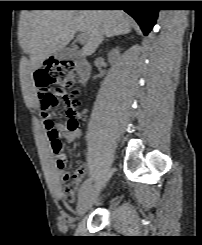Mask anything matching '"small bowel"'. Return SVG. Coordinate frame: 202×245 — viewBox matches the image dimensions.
<instances>
[{
  "instance_id": "1",
  "label": "small bowel",
  "mask_w": 202,
  "mask_h": 245,
  "mask_svg": "<svg viewBox=\"0 0 202 245\" xmlns=\"http://www.w3.org/2000/svg\"><path fill=\"white\" fill-rule=\"evenodd\" d=\"M53 112H57V106L53 105ZM47 132L51 130H56L59 136L63 135L64 138L71 140L79 135V128L77 125L74 126L72 129H68L64 127L61 123L54 122L51 127H47ZM49 143L51 145L53 155H54V173L56 174L60 183H67L70 178H72L69 185L65 186V193L67 196H72L76 191L77 187L81 183L82 179L87 175V167L82 166L78 168L73 174L65 171V167L67 166V157L66 154L62 150H55L52 145V140L48 137Z\"/></svg>"
}]
</instances>
